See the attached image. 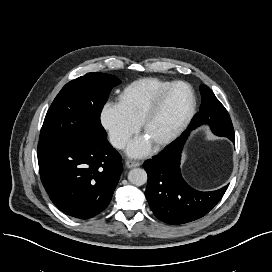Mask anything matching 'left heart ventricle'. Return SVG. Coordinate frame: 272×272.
<instances>
[{
	"label": "left heart ventricle",
	"mask_w": 272,
	"mask_h": 272,
	"mask_svg": "<svg viewBox=\"0 0 272 272\" xmlns=\"http://www.w3.org/2000/svg\"><path fill=\"white\" fill-rule=\"evenodd\" d=\"M190 105L188 90L179 86L165 100L143 132L151 144L169 135L183 120Z\"/></svg>",
	"instance_id": "1"
}]
</instances>
